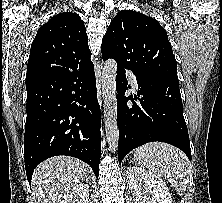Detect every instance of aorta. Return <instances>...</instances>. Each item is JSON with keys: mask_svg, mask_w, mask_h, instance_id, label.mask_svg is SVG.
Returning a JSON list of instances; mask_svg holds the SVG:
<instances>
[{"mask_svg": "<svg viewBox=\"0 0 222 203\" xmlns=\"http://www.w3.org/2000/svg\"><path fill=\"white\" fill-rule=\"evenodd\" d=\"M117 62L109 59L102 71V94L104 100L105 132L109 148L112 152L118 149L119 130L117 123L116 97Z\"/></svg>", "mask_w": 222, "mask_h": 203, "instance_id": "762f6f07", "label": "aorta"}]
</instances>
